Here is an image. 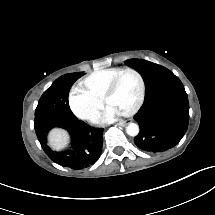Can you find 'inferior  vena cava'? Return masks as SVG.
Masks as SVG:
<instances>
[{
	"label": "inferior vena cava",
	"instance_id": "obj_1",
	"mask_svg": "<svg viewBox=\"0 0 215 215\" xmlns=\"http://www.w3.org/2000/svg\"><path fill=\"white\" fill-rule=\"evenodd\" d=\"M100 118H101V115H100L99 111L91 113V114L88 115V120L90 122H93V123L99 122Z\"/></svg>",
	"mask_w": 215,
	"mask_h": 215
}]
</instances>
